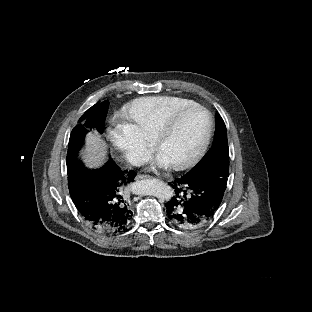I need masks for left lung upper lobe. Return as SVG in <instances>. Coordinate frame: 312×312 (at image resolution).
<instances>
[{
	"label": "left lung upper lobe",
	"mask_w": 312,
	"mask_h": 312,
	"mask_svg": "<svg viewBox=\"0 0 312 312\" xmlns=\"http://www.w3.org/2000/svg\"><path fill=\"white\" fill-rule=\"evenodd\" d=\"M216 120V134L213 146L201 159V161L187 173L188 175H193L211 168L229 169V152L226 126L219 114L216 115Z\"/></svg>",
	"instance_id": "1"
}]
</instances>
